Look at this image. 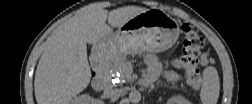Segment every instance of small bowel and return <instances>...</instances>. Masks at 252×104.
Instances as JSON below:
<instances>
[{
    "instance_id": "small-bowel-1",
    "label": "small bowel",
    "mask_w": 252,
    "mask_h": 104,
    "mask_svg": "<svg viewBox=\"0 0 252 104\" xmlns=\"http://www.w3.org/2000/svg\"><path fill=\"white\" fill-rule=\"evenodd\" d=\"M146 63L148 65V73L145 79L147 83H152L160 75H164L170 80H176L178 78V74L173 70L163 71L158 59L154 55L147 56ZM172 64L176 69L181 67V62L178 59L173 60Z\"/></svg>"
}]
</instances>
